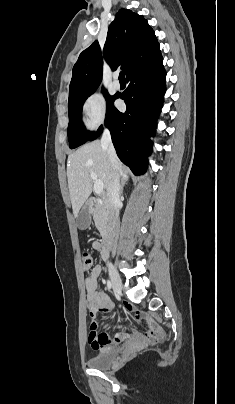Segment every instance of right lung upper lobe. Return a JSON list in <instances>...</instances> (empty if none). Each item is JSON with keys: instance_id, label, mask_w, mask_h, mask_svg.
Segmentation results:
<instances>
[{"instance_id": "1", "label": "right lung upper lobe", "mask_w": 235, "mask_h": 404, "mask_svg": "<svg viewBox=\"0 0 235 404\" xmlns=\"http://www.w3.org/2000/svg\"><path fill=\"white\" fill-rule=\"evenodd\" d=\"M104 58L112 69L122 65L126 76L161 57L153 29L143 16L121 9L107 33ZM102 55L98 41L85 49L73 67L69 102L92 94L102 80Z\"/></svg>"}]
</instances>
